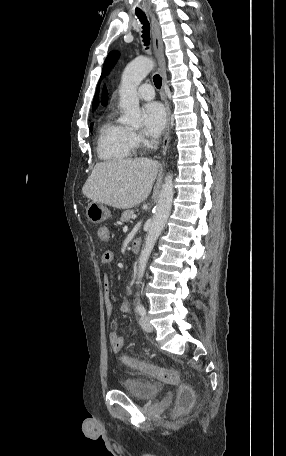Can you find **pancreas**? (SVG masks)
<instances>
[{"mask_svg": "<svg viewBox=\"0 0 286 456\" xmlns=\"http://www.w3.org/2000/svg\"><path fill=\"white\" fill-rule=\"evenodd\" d=\"M132 215H134V210H126L122 213L121 216V222H128L131 218Z\"/></svg>", "mask_w": 286, "mask_h": 456, "instance_id": "pancreas-1", "label": "pancreas"}]
</instances>
